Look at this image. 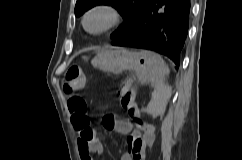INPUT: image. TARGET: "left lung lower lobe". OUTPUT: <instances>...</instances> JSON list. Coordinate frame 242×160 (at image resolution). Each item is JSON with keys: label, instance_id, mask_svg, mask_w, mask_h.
I'll list each match as a JSON object with an SVG mask.
<instances>
[{"label": "left lung lower lobe", "instance_id": "0a47b994", "mask_svg": "<svg viewBox=\"0 0 242 160\" xmlns=\"http://www.w3.org/2000/svg\"><path fill=\"white\" fill-rule=\"evenodd\" d=\"M190 14V0H148L131 31L112 42L152 50L169 57L177 67L184 45Z\"/></svg>", "mask_w": 242, "mask_h": 160}]
</instances>
